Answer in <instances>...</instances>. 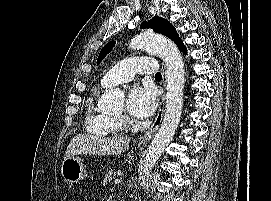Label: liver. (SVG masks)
Instances as JSON below:
<instances>
[{
  "instance_id": "6515ba94",
  "label": "liver",
  "mask_w": 271,
  "mask_h": 201,
  "mask_svg": "<svg viewBox=\"0 0 271 201\" xmlns=\"http://www.w3.org/2000/svg\"><path fill=\"white\" fill-rule=\"evenodd\" d=\"M130 139L126 136L101 138L90 134H78L69 143L64 160L79 154L112 155L121 154L129 147Z\"/></svg>"
}]
</instances>
